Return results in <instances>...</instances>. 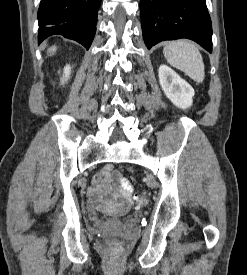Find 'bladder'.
Here are the masks:
<instances>
[{"label":"bladder","instance_id":"obj_1","mask_svg":"<svg viewBox=\"0 0 247 275\" xmlns=\"http://www.w3.org/2000/svg\"><path fill=\"white\" fill-rule=\"evenodd\" d=\"M124 219H125L124 216H114V217H112V221H114V222H121Z\"/></svg>","mask_w":247,"mask_h":275}]
</instances>
